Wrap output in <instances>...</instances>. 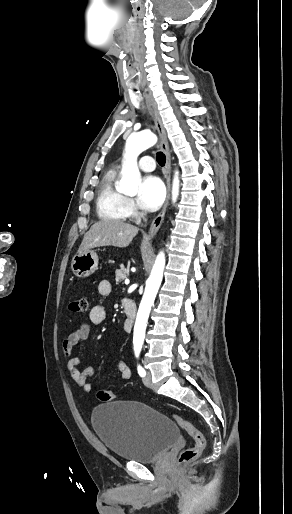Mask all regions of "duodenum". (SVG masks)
Listing matches in <instances>:
<instances>
[{"instance_id":"duodenum-1","label":"duodenum","mask_w":292,"mask_h":514,"mask_svg":"<svg viewBox=\"0 0 292 514\" xmlns=\"http://www.w3.org/2000/svg\"><path fill=\"white\" fill-rule=\"evenodd\" d=\"M123 308L127 314V319L124 324V330L126 332H130L132 330L133 321L136 316L137 307L136 303L133 299H124L123 300Z\"/></svg>"}]
</instances>
